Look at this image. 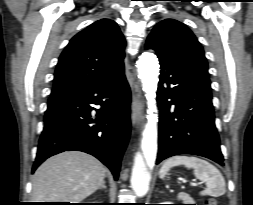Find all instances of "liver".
Masks as SVG:
<instances>
[{
	"mask_svg": "<svg viewBox=\"0 0 253 205\" xmlns=\"http://www.w3.org/2000/svg\"><path fill=\"white\" fill-rule=\"evenodd\" d=\"M106 169L93 156L63 152L47 159L36 170L32 180L35 202L79 203L102 185Z\"/></svg>",
	"mask_w": 253,
	"mask_h": 205,
	"instance_id": "obj_1",
	"label": "liver"
}]
</instances>
